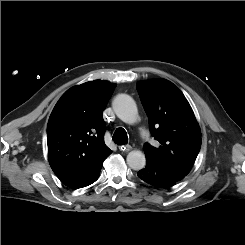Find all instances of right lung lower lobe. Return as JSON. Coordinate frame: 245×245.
I'll use <instances>...</instances> for the list:
<instances>
[{"mask_svg":"<svg viewBox=\"0 0 245 245\" xmlns=\"http://www.w3.org/2000/svg\"><path fill=\"white\" fill-rule=\"evenodd\" d=\"M100 173V172H99ZM99 173H97L88 183H86L85 185H83L82 187H85V186H88V185H90V184H92V183H94L97 179H98V177H99Z\"/></svg>","mask_w":245,"mask_h":245,"instance_id":"obj_1","label":"right lung lower lobe"}]
</instances>
